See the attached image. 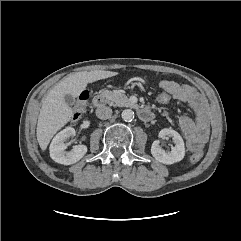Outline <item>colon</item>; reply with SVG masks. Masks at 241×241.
Returning <instances> with one entry per match:
<instances>
[{
	"label": "colon",
	"mask_w": 241,
	"mask_h": 241,
	"mask_svg": "<svg viewBox=\"0 0 241 241\" xmlns=\"http://www.w3.org/2000/svg\"><path fill=\"white\" fill-rule=\"evenodd\" d=\"M89 100V94L87 92H83L73 104V116L72 120H78L83 113L86 111ZM172 100V96L166 90L160 89L156 94V101L160 104L169 103ZM202 157L201 153H195L191 155L190 162L196 163Z\"/></svg>",
	"instance_id": "1"
}]
</instances>
